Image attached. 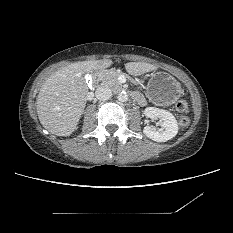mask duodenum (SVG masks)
I'll use <instances>...</instances> for the list:
<instances>
[{
    "label": "duodenum",
    "instance_id": "duodenum-1",
    "mask_svg": "<svg viewBox=\"0 0 233 233\" xmlns=\"http://www.w3.org/2000/svg\"><path fill=\"white\" fill-rule=\"evenodd\" d=\"M108 71H109V68H108V67L103 68V69L98 73V77H97L95 80H93L92 84H93V85H97V83L102 79V77H103L105 74L108 73ZM134 96H136V95H134Z\"/></svg>",
    "mask_w": 233,
    "mask_h": 233
}]
</instances>
